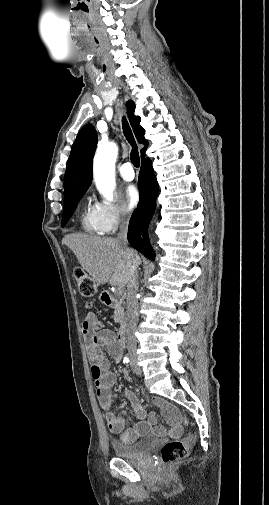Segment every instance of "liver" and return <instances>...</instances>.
<instances>
[{"label":"liver","instance_id":"liver-1","mask_svg":"<svg viewBox=\"0 0 269 505\" xmlns=\"http://www.w3.org/2000/svg\"><path fill=\"white\" fill-rule=\"evenodd\" d=\"M62 244L73 251L80 265L98 285L109 282L112 286L124 287L132 277L133 265L141 262L133 249H124L117 239L111 237L73 233L65 235Z\"/></svg>","mask_w":269,"mask_h":505}]
</instances>
